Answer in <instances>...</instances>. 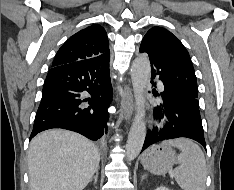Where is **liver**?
Wrapping results in <instances>:
<instances>
[{
    "label": "liver",
    "mask_w": 234,
    "mask_h": 190,
    "mask_svg": "<svg viewBox=\"0 0 234 190\" xmlns=\"http://www.w3.org/2000/svg\"><path fill=\"white\" fill-rule=\"evenodd\" d=\"M99 162L98 148L84 136L60 129L44 131L29 147L30 190H83Z\"/></svg>",
    "instance_id": "1"
}]
</instances>
